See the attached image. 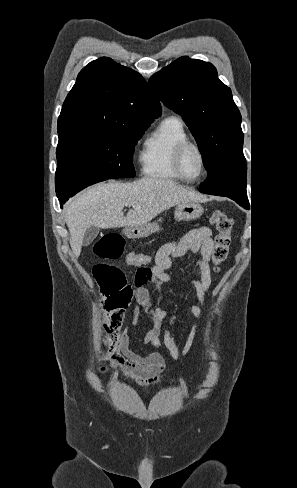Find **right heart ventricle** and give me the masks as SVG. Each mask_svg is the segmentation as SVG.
<instances>
[{"instance_id": "e07e8e85", "label": "right heart ventricle", "mask_w": 297, "mask_h": 488, "mask_svg": "<svg viewBox=\"0 0 297 488\" xmlns=\"http://www.w3.org/2000/svg\"><path fill=\"white\" fill-rule=\"evenodd\" d=\"M186 140L189 136L178 117L163 119L144 140L139 158L142 173L156 180H179L172 159L176 147Z\"/></svg>"}]
</instances>
